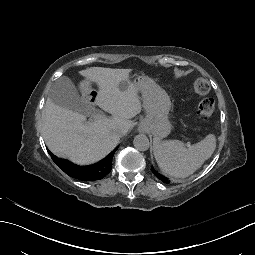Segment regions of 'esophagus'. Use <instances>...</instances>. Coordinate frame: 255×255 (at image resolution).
Wrapping results in <instances>:
<instances>
[{
  "label": "esophagus",
  "mask_w": 255,
  "mask_h": 255,
  "mask_svg": "<svg viewBox=\"0 0 255 255\" xmlns=\"http://www.w3.org/2000/svg\"><path fill=\"white\" fill-rule=\"evenodd\" d=\"M144 131H145V128H144V127H142L141 132H144Z\"/></svg>",
  "instance_id": "34e87169"
}]
</instances>
